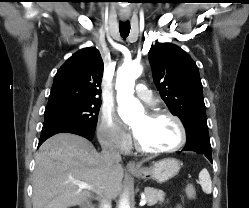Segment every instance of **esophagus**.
<instances>
[{
  "label": "esophagus",
  "instance_id": "34e87169",
  "mask_svg": "<svg viewBox=\"0 0 249 208\" xmlns=\"http://www.w3.org/2000/svg\"><path fill=\"white\" fill-rule=\"evenodd\" d=\"M123 21H126V20H123ZM127 169H128V170H131V171H134V170H138L139 167L135 164V162L130 161V162H128V164H127Z\"/></svg>",
  "mask_w": 249,
  "mask_h": 208
}]
</instances>
